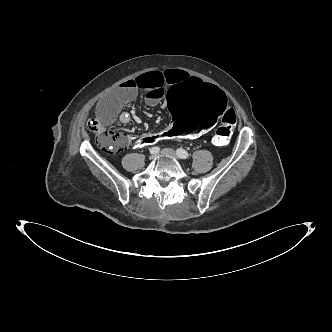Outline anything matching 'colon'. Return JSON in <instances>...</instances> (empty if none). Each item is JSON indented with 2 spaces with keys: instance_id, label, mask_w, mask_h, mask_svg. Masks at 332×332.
I'll list each match as a JSON object with an SVG mask.
<instances>
[{
  "instance_id": "obj_1",
  "label": "colon",
  "mask_w": 332,
  "mask_h": 332,
  "mask_svg": "<svg viewBox=\"0 0 332 332\" xmlns=\"http://www.w3.org/2000/svg\"><path fill=\"white\" fill-rule=\"evenodd\" d=\"M163 110L170 123L167 130L158 133L127 132L122 140L98 120L88 122L98 145L109 153L138 146H154L161 140L194 139L219 123L213 137L217 147L229 143L237 121L231 109V100L224 88L200 78H191L171 88L163 101Z\"/></svg>"
}]
</instances>
